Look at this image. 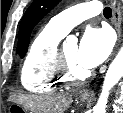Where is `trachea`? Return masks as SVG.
<instances>
[{"mask_svg": "<svg viewBox=\"0 0 123 113\" xmlns=\"http://www.w3.org/2000/svg\"><path fill=\"white\" fill-rule=\"evenodd\" d=\"M103 14L105 17H111V14H112V10L110 7H105L104 10H103Z\"/></svg>", "mask_w": 123, "mask_h": 113, "instance_id": "1", "label": "trachea"}]
</instances>
